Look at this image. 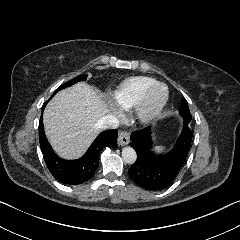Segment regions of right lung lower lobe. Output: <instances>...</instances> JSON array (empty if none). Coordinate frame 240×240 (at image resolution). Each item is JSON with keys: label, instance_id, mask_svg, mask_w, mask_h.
Returning <instances> with one entry per match:
<instances>
[{"label": "right lung lower lobe", "instance_id": "obj_1", "mask_svg": "<svg viewBox=\"0 0 240 240\" xmlns=\"http://www.w3.org/2000/svg\"><path fill=\"white\" fill-rule=\"evenodd\" d=\"M42 117L43 114L40 117L39 142L44 160L51 174L63 184L78 185L88 181L97 170L101 151L107 147L116 148L117 146V130H108L99 134L82 158L61 159L54 153L46 139Z\"/></svg>", "mask_w": 240, "mask_h": 240}]
</instances>
